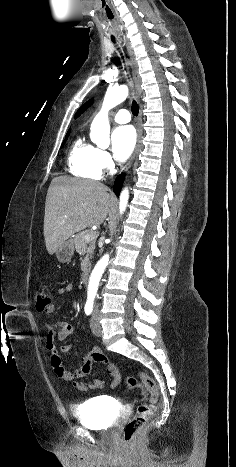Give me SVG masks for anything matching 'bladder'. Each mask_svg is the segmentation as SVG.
<instances>
[{
	"label": "bladder",
	"mask_w": 236,
	"mask_h": 467,
	"mask_svg": "<svg viewBox=\"0 0 236 467\" xmlns=\"http://www.w3.org/2000/svg\"><path fill=\"white\" fill-rule=\"evenodd\" d=\"M112 402L105 397H94L86 400L73 409L74 416L88 427L106 429L113 426L110 411L114 409Z\"/></svg>",
	"instance_id": "31cf9c89"
}]
</instances>
